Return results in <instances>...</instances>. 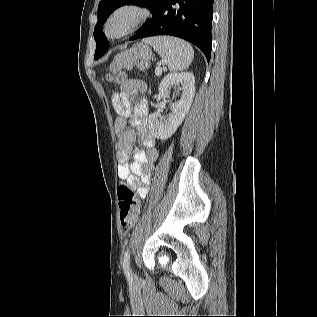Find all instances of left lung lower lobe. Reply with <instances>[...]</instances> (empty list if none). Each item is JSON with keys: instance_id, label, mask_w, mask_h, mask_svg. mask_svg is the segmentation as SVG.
Instances as JSON below:
<instances>
[{"instance_id": "obj_1", "label": "left lung lower lobe", "mask_w": 317, "mask_h": 317, "mask_svg": "<svg viewBox=\"0 0 317 317\" xmlns=\"http://www.w3.org/2000/svg\"><path fill=\"white\" fill-rule=\"evenodd\" d=\"M213 2L214 0H162L148 26L134 39L156 35L176 36L200 48L209 62ZM107 47L108 45H104L103 49Z\"/></svg>"}]
</instances>
